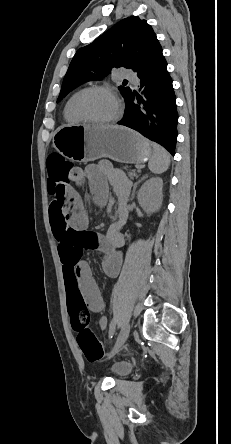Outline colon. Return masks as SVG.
Segmentation results:
<instances>
[{
  "mask_svg": "<svg viewBox=\"0 0 231 444\" xmlns=\"http://www.w3.org/2000/svg\"><path fill=\"white\" fill-rule=\"evenodd\" d=\"M48 189L54 199L60 198L73 176L79 169L60 154L54 153L47 158ZM68 310L73 329L77 332V342L89 362L102 359L104 350L97 336L90 330V313L81 294L73 289L67 290Z\"/></svg>",
  "mask_w": 231,
  "mask_h": 444,
  "instance_id": "1",
  "label": "colon"
}]
</instances>
